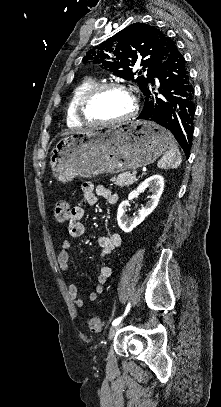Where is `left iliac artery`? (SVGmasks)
Masks as SVG:
<instances>
[{"mask_svg":"<svg viewBox=\"0 0 221 407\" xmlns=\"http://www.w3.org/2000/svg\"><path fill=\"white\" fill-rule=\"evenodd\" d=\"M129 310H130V303L127 305L124 315L121 316V317H118L117 319H115V320L112 322V325H113V326L118 325V324L121 322V320L123 319V317H124L125 315H127V313L129 312Z\"/></svg>","mask_w":221,"mask_h":407,"instance_id":"obj_1","label":"left iliac artery"}]
</instances>
